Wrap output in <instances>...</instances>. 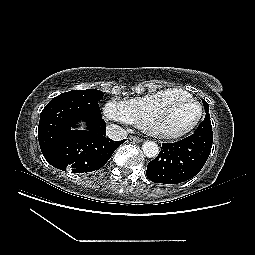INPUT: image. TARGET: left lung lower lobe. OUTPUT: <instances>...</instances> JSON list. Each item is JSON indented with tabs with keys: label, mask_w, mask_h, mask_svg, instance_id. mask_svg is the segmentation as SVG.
I'll return each instance as SVG.
<instances>
[{
	"label": "left lung lower lobe",
	"mask_w": 255,
	"mask_h": 255,
	"mask_svg": "<svg viewBox=\"0 0 255 255\" xmlns=\"http://www.w3.org/2000/svg\"><path fill=\"white\" fill-rule=\"evenodd\" d=\"M213 142L209 111L195 132L174 143H163L156 159L147 165V177L155 183L177 184L196 176L209 157Z\"/></svg>",
	"instance_id": "obj_1"
}]
</instances>
